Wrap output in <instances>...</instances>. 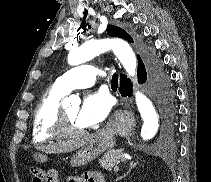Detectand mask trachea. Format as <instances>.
<instances>
[{
	"instance_id": "1",
	"label": "trachea",
	"mask_w": 211,
	"mask_h": 182,
	"mask_svg": "<svg viewBox=\"0 0 211 182\" xmlns=\"http://www.w3.org/2000/svg\"><path fill=\"white\" fill-rule=\"evenodd\" d=\"M111 87H118V77L116 73L112 75Z\"/></svg>"
}]
</instances>
